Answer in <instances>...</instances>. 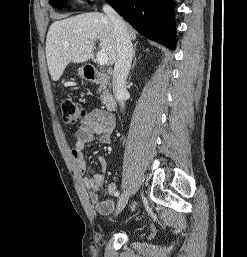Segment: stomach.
Masks as SVG:
<instances>
[{"instance_id":"1","label":"stomach","mask_w":247,"mask_h":257,"mask_svg":"<svg viewBox=\"0 0 247 257\" xmlns=\"http://www.w3.org/2000/svg\"><path fill=\"white\" fill-rule=\"evenodd\" d=\"M78 75H79L80 77H84V70H83V68H80V69L78 70Z\"/></svg>"}]
</instances>
